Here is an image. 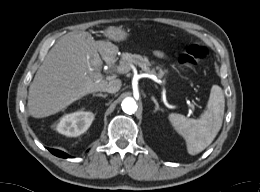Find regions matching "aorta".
Instances as JSON below:
<instances>
[{
	"mask_svg": "<svg viewBox=\"0 0 260 192\" xmlns=\"http://www.w3.org/2000/svg\"><path fill=\"white\" fill-rule=\"evenodd\" d=\"M122 110L127 114H133L137 111L138 105L132 97H126L121 103Z\"/></svg>",
	"mask_w": 260,
	"mask_h": 192,
	"instance_id": "762f6f07",
	"label": "aorta"
}]
</instances>
